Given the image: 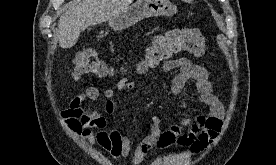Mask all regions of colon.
<instances>
[{"label": "colon", "instance_id": "obj_1", "mask_svg": "<svg viewBox=\"0 0 276 165\" xmlns=\"http://www.w3.org/2000/svg\"><path fill=\"white\" fill-rule=\"evenodd\" d=\"M179 52H188L199 57L206 55L207 46L202 32L196 28H178L155 36L146 49L139 69L156 67ZM73 62L75 78L83 74L105 76L111 72L108 65L92 49L77 53ZM71 124L76 127L74 123Z\"/></svg>", "mask_w": 276, "mask_h": 165}]
</instances>
